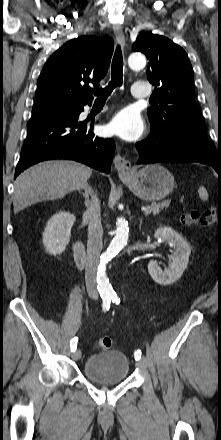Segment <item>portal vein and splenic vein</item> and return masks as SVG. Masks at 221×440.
<instances>
[{"mask_svg":"<svg viewBox=\"0 0 221 440\" xmlns=\"http://www.w3.org/2000/svg\"><path fill=\"white\" fill-rule=\"evenodd\" d=\"M142 210H143L145 215H149L151 213L150 209L147 208V207H143Z\"/></svg>","mask_w":221,"mask_h":440,"instance_id":"portal-vein-and-splenic-vein-1","label":"portal vein and splenic vein"}]
</instances>
